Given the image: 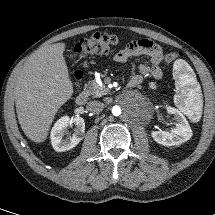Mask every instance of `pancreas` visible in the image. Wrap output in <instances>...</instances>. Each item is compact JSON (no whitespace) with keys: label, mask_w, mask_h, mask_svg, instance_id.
<instances>
[{"label":"pancreas","mask_w":215,"mask_h":215,"mask_svg":"<svg viewBox=\"0 0 215 215\" xmlns=\"http://www.w3.org/2000/svg\"><path fill=\"white\" fill-rule=\"evenodd\" d=\"M85 89L93 97H101L108 93V89L99 86L96 81H90L88 84L85 85Z\"/></svg>","instance_id":"1"}]
</instances>
